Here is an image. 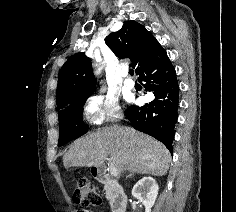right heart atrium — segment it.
I'll use <instances>...</instances> for the list:
<instances>
[{
  "mask_svg": "<svg viewBox=\"0 0 236 212\" xmlns=\"http://www.w3.org/2000/svg\"><path fill=\"white\" fill-rule=\"evenodd\" d=\"M83 116L91 124H102L119 119L121 111L114 96L93 95L85 102Z\"/></svg>",
  "mask_w": 236,
  "mask_h": 212,
  "instance_id": "1",
  "label": "right heart atrium"
}]
</instances>
